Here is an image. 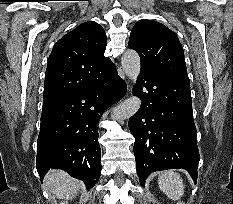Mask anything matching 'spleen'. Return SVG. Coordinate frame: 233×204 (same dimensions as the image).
<instances>
[{
  "instance_id": "spleen-1",
  "label": "spleen",
  "mask_w": 233,
  "mask_h": 204,
  "mask_svg": "<svg viewBox=\"0 0 233 204\" xmlns=\"http://www.w3.org/2000/svg\"><path fill=\"white\" fill-rule=\"evenodd\" d=\"M158 185L167 197L179 200L184 195V183L182 177L173 170L164 171L158 177Z\"/></svg>"
}]
</instances>
